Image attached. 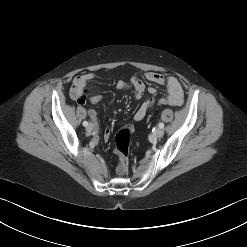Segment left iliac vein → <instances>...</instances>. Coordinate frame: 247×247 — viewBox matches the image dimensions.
<instances>
[{"instance_id":"left-iliac-vein-1","label":"left iliac vein","mask_w":247,"mask_h":247,"mask_svg":"<svg viewBox=\"0 0 247 247\" xmlns=\"http://www.w3.org/2000/svg\"><path fill=\"white\" fill-rule=\"evenodd\" d=\"M164 135V130L162 128H157L154 132V136L161 138Z\"/></svg>"}]
</instances>
